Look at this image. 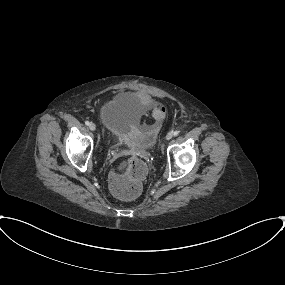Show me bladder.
Instances as JSON below:
<instances>
[{"label": "bladder", "instance_id": "obj_1", "mask_svg": "<svg viewBox=\"0 0 285 285\" xmlns=\"http://www.w3.org/2000/svg\"><path fill=\"white\" fill-rule=\"evenodd\" d=\"M134 101V97L130 93L120 94L114 99L110 106H116L119 102L130 103ZM130 147L139 149H150L156 141V131L153 126L142 127L137 124L133 129L124 132Z\"/></svg>", "mask_w": 285, "mask_h": 285}]
</instances>
